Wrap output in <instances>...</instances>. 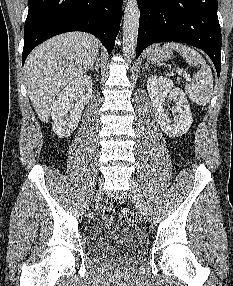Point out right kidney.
Masks as SVG:
<instances>
[{
  "mask_svg": "<svg viewBox=\"0 0 233 286\" xmlns=\"http://www.w3.org/2000/svg\"><path fill=\"white\" fill-rule=\"evenodd\" d=\"M92 94V80L82 75L65 86L52 105V129L61 138L68 137L77 127L84 106Z\"/></svg>",
  "mask_w": 233,
  "mask_h": 286,
  "instance_id": "obj_1",
  "label": "right kidney"
}]
</instances>
